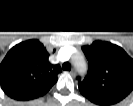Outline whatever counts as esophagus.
<instances>
[{
    "label": "esophagus",
    "instance_id": "esophagus-1",
    "mask_svg": "<svg viewBox=\"0 0 133 106\" xmlns=\"http://www.w3.org/2000/svg\"><path fill=\"white\" fill-rule=\"evenodd\" d=\"M70 74H71L73 77H75V76L77 75V72H76L75 69H72V70L70 71Z\"/></svg>",
    "mask_w": 133,
    "mask_h": 106
}]
</instances>
